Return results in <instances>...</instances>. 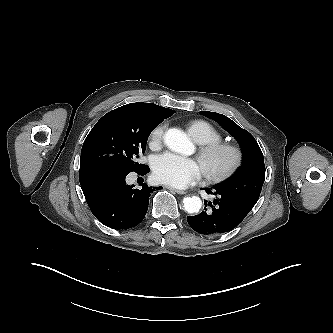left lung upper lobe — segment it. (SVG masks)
<instances>
[{"instance_id": "1", "label": "left lung upper lobe", "mask_w": 333, "mask_h": 333, "mask_svg": "<svg viewBox=\"0 0 333 333\" xmlns=\"http://www.w3.org/2000/svg\"><path fill=\"white\" fill-rule=\"evenodd\" d=\"M200 113L218 122L235 137L244 154L243 167L234 177L216 187L233 194L246 195L258 200L265 180V165L263 153L257 141L248 131L222 114L209 111H201Z\"/></svg>"}]
</instances>
